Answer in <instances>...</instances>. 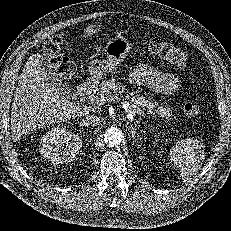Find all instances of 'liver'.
<instances>
[{"label":"liver","instance_id":"1","mask_svg":"<svg viewBox=\"0 0 231 231\" xmlns=\"http://www.w3.org/2000/svg\"><path fill=\"white\" fill-rule=\"evenodd\" d=\"M99 30L96 25L85 29L87 35ZM55 88L43 67L41 54H32L18 80L11 106V134L19 140L36 129L81 117L87 109L73 104Z\"/></svg>","mask_w":231,"mask_h":231}]
</instances>
